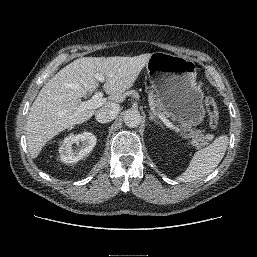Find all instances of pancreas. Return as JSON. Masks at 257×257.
I'll return each instance as SVG.
<instances>
[{"label": "pancreas", "instance_id": "1", "mask_svg": "<svg viewBox=\"0 0 257 257\" xmlns=\"http://www.w3.org/2000/svg\"><path fill=\"white\" fill-rule=\"evenodd\" d=\"M148 93H149V98H150V102L152 103V105L154 107H157L159 110L163 111L160 99L154 93V91L149 90ZM184 131L190 132L189 134H187V138L191 139L190 144L192 146H194L196 149H200L203 146L208 144L206 136H204V134H202V132L200 130H192L190 127L185 126Z\"/></svg>", "mask_w": 257, "mask_h": 257}]
</instances>
